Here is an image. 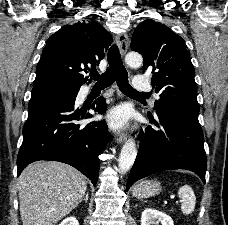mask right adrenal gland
I'll list each match as a JSON object with an SVG mask.
<instances>
[{
    "instance_id": "obj_1",
    "label": "right adrenal gland",
    "mask_w": 228,
    "mask_h": 225,
    "mask_svg": "<svg viewBox=\"0 0 228 225\" xmlns=\"http://www.w3.org/2000/svg\"><path fill=\"white\" fill-rule=\"evenodd\" d=\"M81 201H85V203H88V193H87L85 199H81Z\"/></svg>"
}]
</instances>
